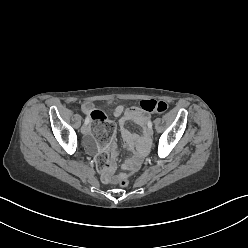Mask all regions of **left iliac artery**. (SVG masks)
<instances>
[{
	"label": "left iliac artery",
	"mask_w": 248,
	"mask_h": 248,
	"mask_svg": "<svg viewBox=\"0 0 248 248\" xmlns=\"http://www.w3.org/2000/svg\"><path fill=\"white\" fill-rule=\"evenodd\" d=\"M148 127L152 128V122L151 121L148 122Z\"/></svg>",
	"instance_id": "44dca946"
}]
</instances>
